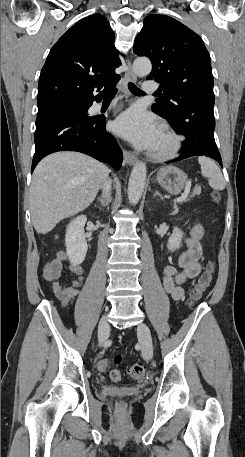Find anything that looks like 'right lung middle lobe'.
<instances>
[{
  "mask_svg": "<svg viewBox=\"0 0 245 457\" xmlns=\"http://www.w3.org/2000/svg\"><path fill=\"white\" fill-rule=\"evenodd\" d=\"M86 102H87L86 100L70 101V102H67V103H64V104L58 106L57 108H79V109H83V107L85 106ZM38 113H40V112H38Z\"/></svg>",
  "mask_w": 245,
  "mask_h": 457,
  "instance_id": "dd1d6c3e",
  "label": "right lung middle lobe"
}]
</instances>
